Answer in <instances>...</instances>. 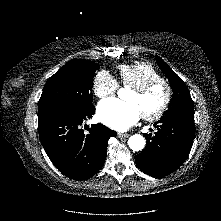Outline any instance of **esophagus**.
<instances>
[{
  "label": "esophagus",
  "mask_w": 221,
  "mask_h": 221,
  "mask_svg": "<svg viewBox=\"0 0 221 221\" xmlns=\"http://www.w3.org/2000/svg\"><path fill=\"white\" fill-rule=\"evenodd\" d=\"M128 136H129L128 133H118V137H119V138H126V137H128Z\"/></svg>",
  "instance_id": "34e87169"
}]
</instances>
